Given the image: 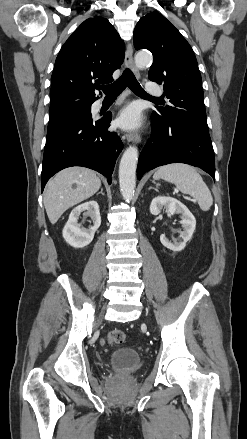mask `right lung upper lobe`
I'll list each match as a JSON object with an SVG mask.
<instances>
[{
    "instance_id": "1",
    "label": "right lung upper lobe",
    "mask_w": 247,
    "mask_h": 439,
    "mask_svg": "<svg viewBox=\"0 0 247 439\" xmlns=\"http://www.w3.org/2000/svg\"><path fill=\"white\" fill-rule=\"evenodd\" d=\"M124 59V43L107 19L85 20L67 39L51 76L49 112L92 104L94 86L110 83Z\"/></svg>"
}]
</instances>
